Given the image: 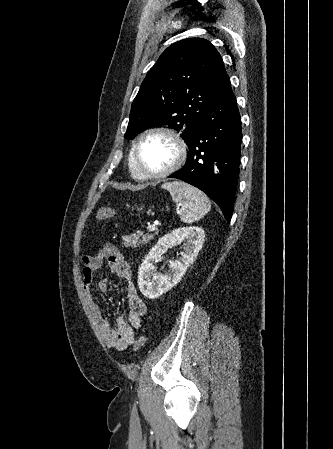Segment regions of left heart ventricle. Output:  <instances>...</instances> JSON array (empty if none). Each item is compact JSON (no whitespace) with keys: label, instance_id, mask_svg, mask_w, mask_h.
<instances>
[{"label":"left heart ventricle","instance_id":"obj_1","mask_svg":"<svg viewBox=\"0 0 333 449\" xmlns=\"http://www.w3.org/2000/svg\"><path fill=\"white\" fill-rule=\"evenodd\" d=\"M139 157L145 172H158L167 168L173 162L175 146L165 136L152 135L142 142Z\"/></svg>","mask_w":333,"mask_h":449}]
</instances>
